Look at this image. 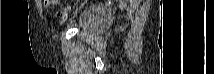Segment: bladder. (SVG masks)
Wrapping results in <instances>:
<instances>
[{
  "instance_id": "31cf9c89",
  "label": "bladder",
  "mask_w": 214,
  "mask_h": 74,
  "mask_svg": "<svg viewBox=\"0 0 214 74\" xmlns=\"http://www.w3.org/2000/svg\"><path fill=\"white\" fill-rule=\"evenodd\" d=\"M111 17L106 8L93 5L78 16L76 28L81 32L95 34L101 30L105 22L111 20Z\"/></svg>"
}]
</instances>
